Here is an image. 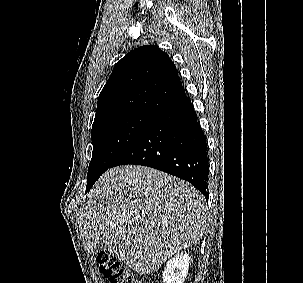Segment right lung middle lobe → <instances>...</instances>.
<instances>
[{"mask_svg": "<svg viewBox=\"0 0 303 283\" xmlns=\"http://www.w3.org/2000/svg\"><path fill=\"white\" fill-rule=\"evenodd\" d=\"M154 118V115L145 113H123L93 123V153L88 167L86 192Z\"/></svg>", "mask_w": 303, "mask_h": 283, "instance_id": "right-lung-middle-lobe-1", "label": "right lung middle lobe"}]
</instances>
